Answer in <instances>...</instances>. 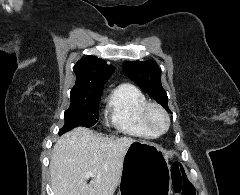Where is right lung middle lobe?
Listing matches in <instances>:
<instances>
[{"mask_svg":"<svg viewBox=\"0 0 240 195\" xmlns=\"http://www.w3.org/2000/svg\"><path fill=\"white\" fill-rule=\"evenodd\" d=\"M70 107L65 111V124L60 134L75 127H91L99 120L98 106L100 97L70 99Z\"/></svg>","mask_w":240,"mask_h":195,"instance_id":"dd1d6c3e","label":"right lung middle lobe"}]
</instances>
